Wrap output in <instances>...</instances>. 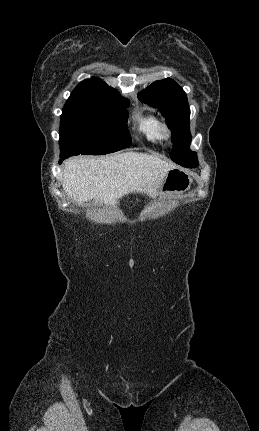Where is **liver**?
<instances>
[{"label": "liver", "instance_id": "liver-1", "mask_svg": "<svg viewBox=\"0 0 259 431\" xmlns=\"http://www.w3.org/2000/svg\"><path fill=\"white\" fill-rule=\"evenodd\" d=\"M175 165L156 156L126 152L107 157H73L64 167L63 189L78 204L94 199L115 206L129 193L154 198Z\"/></svg>", "mask_w": 259, "mask_h": 431}]
</instances>
